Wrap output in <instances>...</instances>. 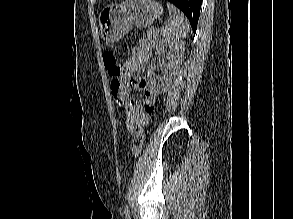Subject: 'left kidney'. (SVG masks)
Returning <instances> with one entry per match:
<instances>
[{"mask_svg":"<svg viewBox=\"0 0 293 219\" xmlns=\"http://www.w3.org/2000/svg\"><path fill=\"white\" fill-rule=\"evenodd\" d=\"M168 48V52H167ZM185 50V44L181 41H175L168 38L162 39L159 42L157 54L161 55L166 53L168 63L164 67L163 81L159 82L153 75V71L156 68L155 61L148 67L147 77L150 88L157 94H164L171 87L173 79L177 75V71L180 68Z\"/></svg>","mask_w":293,"mask_h":219,"instance_id":"left-kidney-1","label":"left kidney"}]
</instances>
